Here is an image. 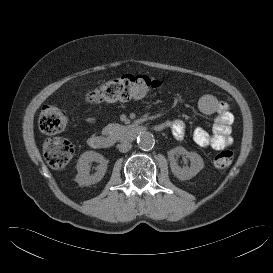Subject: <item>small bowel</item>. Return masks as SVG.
<instances>
[{"label": "small bowel", "mask_w": 273, "mask_h": 273, "mask_svg": "<svg viewBox=\"0 0 273 273\" xmlns=\"http://www.w3.org/2000/svg\"><path fill=\"white\" fill-rule=\"evenodd\" d=\"M199 110L207 115L215 114L212 131L208 132L202 127L193 131V139L201 148L211 147L215 150L224 149L233 143L230 136V126L233 122V114L226 102L219 100L211 94L202 96L198 103ZM177 140L184 138L186 133L185 123L181 119H171L165 122Z\"/></svg>", "instance_id": "1"}]
</instances>
